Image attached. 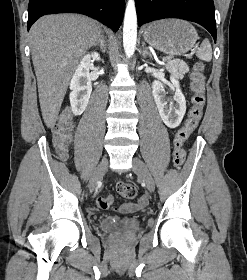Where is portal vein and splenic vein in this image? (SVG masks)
<instances>
[{
  "label": "portal vein and splenic vein",
  "mask_w": 247,
  "mask_h": 280,
  "mask_svg": "<svg viewBox=\"0 0 247 280\" xmlns=\"http://www.w3.org/2000/svg\"><path fill=\"white\" fill-rule=\"evenodd\" d=\"M171 59V57H167L165 60H170Z\"/></svg>",
  "instance_id": "portal-vein-and-splenic-vein-1"
}]
</instances>
